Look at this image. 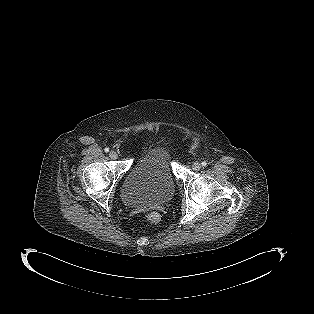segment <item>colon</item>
Returning a JSON list of instances; mask_svg holds the SVG:
<instances>
[{"mask_svg":"<svg viewBox=\"0 0 314 314\" xmlns=\"http://www.w3.org/2000/svg\"><path fill=\"white\" fill-rule=\"evenodd\" d=\"M160 221V216L156 212H152L147 215V222L150 224H156Z\"/></svg>","mask_w":314,"mask_h":314,"instance_id":"5ec220e1","label":"colon"}]
</instances>
